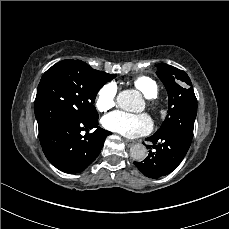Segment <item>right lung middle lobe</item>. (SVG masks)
Returning a JSON list of instances; mask_svg holds the SVG:
<instances>
[{
	"mask_svg": "<svg viewBox=\"0 0 229 229\" xmlns=\"http://www.w3.org/2000/svg\"><path fill=\"white\" fill-rule=\"evenodd\" d=\"M106 82L80 60H63L42 76L34 102L39 137L63 119L97 121L95 97Z\"/></svg>",
	"mask_w": 229,
	"mask_h": 229,
	"instance_id": "1",
	"label": "right lung middle lobe"
}]
</instances>
